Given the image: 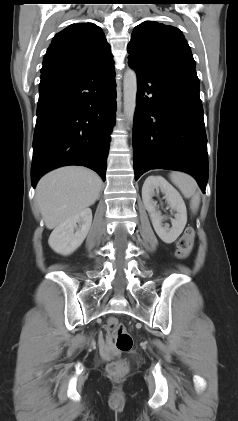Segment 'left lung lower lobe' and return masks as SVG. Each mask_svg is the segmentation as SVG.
Wrapping results in <instances>:
<instances>
[{
    "label": "left lung lower lobe",
    "mask_w": 238,
    "mask_h": 421,
    "mask_svg": "<svg viewBox=\"0 0 238 421\" xmlns=\"http://www.w3.org/2000/svg\"><path fill=\"white\" fill-rule=\"evenodd\" d=\"M137 73L133 125L135 180L151 169L191 174L203 193L208 180L207 138L196 70L152 72L128 61Z\"/></svg>",
    "instance_id": "left-lung-lower-lobe-1"
}]
</instances>
